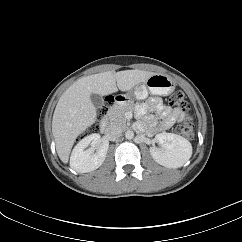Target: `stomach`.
I'll use <instances>...</instances> for the list:
<instances>
[{
	"instance_id": "obj_1",
	"label": "stomach",
	"mask_w": 242,
	"mask_h": 242,
	"mask_svg": "<svg viewBox=\"0 0 242 242\" xmlns=\"http://www.w3.org/2000/svg\"><path fill=\"white\" fill-rule=\"evenodd\" d=\"M175 86L176 83L170 76L155 73L146 81L135 85L131 92L126 96V101H123L122 103L129 102L132 98L139 100L145 99L148 92L153 95L167 96L174 91Z\"/></svg>"
}]
</instances>
